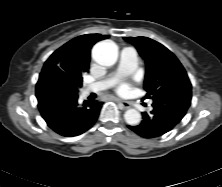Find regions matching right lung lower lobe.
Instances as JSON below:
<instances>
[{
	"label": "right lung lower lobe",
	"instance_id": "obj_1",
	"mask_svg": "<svg viewBox=\"0 0 222 187\" xmlns=\"http://www.w3.org/2000/svg\"><path fill=\"white\" fill-rule=\"evenodd\" d=\"M39 111L56 133L73 137L87 131L97 120L102 102L84 101L79 105L78 92L72 91L63 78L52 70L42 71L36 85Z\"/></svg>",
	"mask_w": 222,
	"mask_h": 187
}]
</instances>
